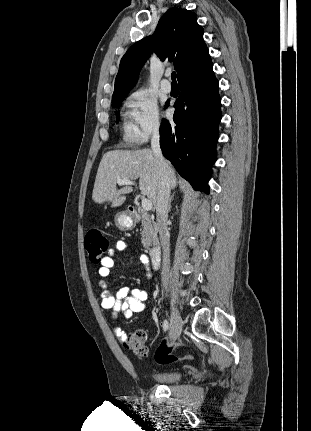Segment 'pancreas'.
<instances>
[{"instance_id": "cf45deb5", "label": "pancreas", "mask_w": 311, "mask_h": 431, "mask_svg": "<svg viewBox=\"0 0 311 431\" xmlns=\"http://www.w3.org/2000/svg\"><path fill=\"white\" fill-rule=\"evenodd\" d=\"M140 216L142 217V243L146 249H150V245H157V223L154 221V217L150 216L145 210H140Z\"/></svg>"}]
</instances>
